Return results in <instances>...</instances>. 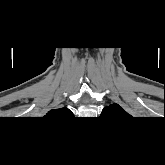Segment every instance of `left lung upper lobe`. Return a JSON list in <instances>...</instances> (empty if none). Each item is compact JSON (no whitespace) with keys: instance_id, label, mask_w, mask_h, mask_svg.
Masks as SVG:
<instances>
[{"instance_id":"5c2ea615","label":"left lung upper lobe","mask_w":165,"mask_h":165,"mask_svg":"<svg viewBox=\"0 0 165 165\" xmlns=\"http://www.w3.org/2000/svg\"><path fill=\"white\" fill-rule=\"evenodd\" d=\"M102 116H114V117H121V116H127L128 113H126L118 104L114 103L109 105L108 107H105L102 110Z\"/></svg>"}]
</instances>
